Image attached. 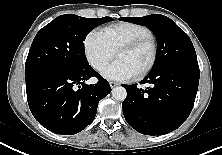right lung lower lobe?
Here are the masks:
<instances>
[{
  "label": "right lung lower lobe",
  "instance_id": "1",
  "mask_svg": "<svg viewBox=\"0 0 222 155\" xmlns=\"http://www.w3.org/2000/svg\"><path fill=\"white\" fill-rule=\"evenodd\" d=\"M97 77L98 82L85 81ZM29 108L49 131L73 135L95 118L99 101L111 92L109 83L90 65L73 72L51 71L26 81Z\"/></svg>",
  "mask_w": 222,
  "mask_h": 155
}]
</instances>
